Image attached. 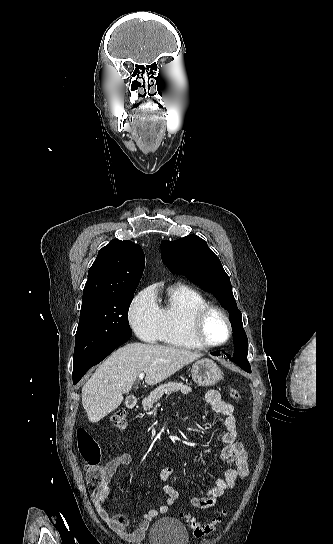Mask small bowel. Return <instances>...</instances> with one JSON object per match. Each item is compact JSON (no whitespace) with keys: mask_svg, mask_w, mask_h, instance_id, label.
<instances>
[{"mask_svg":"<svg viewBox=\"0 0 333 544\" xmlns=\"http://www.w3.org/2000/svg\"><path fill=\"white\" fill-rule=\"evenodd\" d=\"M204 402L209 408L224 417L225 431L220 435L223 447L220 451L221 459L233 464L234 468L225 470L222 478L215 480L214 485L203 497H194L191 505L197 509L213 507L226 490L233 487L237 480L245 479L249 474V457L243 445L237 441V424L234 416L233 405L222 400L217 390H208L203 396ZM132 456L122 453L106 463L104 466L105 484L102 488L91 492V500L99 517L122 539L130 542L141 541L149 528L150 522L161 514L170 511L175 502L180 498V492L172 485L166 484L163 491L166 495L165 502L158 508L150 509L143 514L135 528H131V519L122 513L110 514L105 508V502L110 493V481L118 469L130 466ZM174 469L170 466L160 471L162 481L167 482L172 477Z\"/></svg>","mask_w":333,"mask_h":544,"instance_id":"obj_1","label":"small bowel"}]
</instances>
